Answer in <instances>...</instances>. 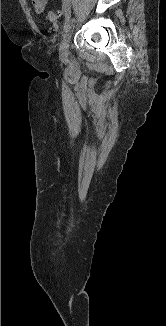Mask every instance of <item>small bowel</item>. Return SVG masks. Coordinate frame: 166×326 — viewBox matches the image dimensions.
<instances>
[{"label":"small bowel","instance_id":"small-bowel-1","mask_svg":"<svg viewBox=\"0 0 166 326\" xmlns=\"http://www.w3.org/2000/svg\"><path fill=\"white\" fill-rule=\"evenodd\" d=\"M33 10L37 14H41L45 11L48 0H30Z\"/></svg>","mask_w":166,"mask_h":326}]
</instances>
